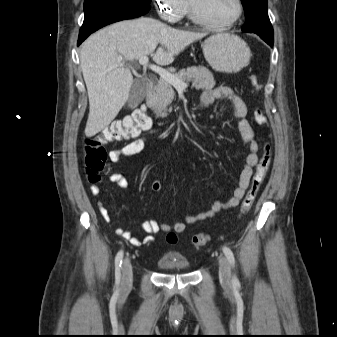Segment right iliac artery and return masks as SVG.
I'll return each instance as SVG.
<instances>
[{"mask_svg": "<svg viewBox=\"0 0 337 337\" xmlns=\"http://www.w3.org/2000/svg\"><path fill=\"white\" fill-rule=\"evenodd\" d=\"M122 259H123V251L120 250L117 253L116 257H115V279H116V284H118L119 281H120Z\"/></svg>", "mask_w": 337, "mask_h": 337, "instance_id": "82829eb1", "label": "right iliac artery"}]
</instances>
